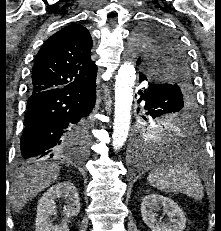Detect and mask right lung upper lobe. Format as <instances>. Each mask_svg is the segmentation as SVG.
<instances>
[{
	"instance_id": "obj_1",
	"label": "right lung upper lobe",
	"mask_w": 221,
	"mask_h": 231,
	"mask_svg": "<svg viewBox=\"0 0 221 231\" xmlns=\"http://www.w3.org/2000/svg\"><path fill=\"white\" fill-rule=\"evenodd\" d=\"M93 42L89 31L74 23L45 41L32 70L30 93L65 86H85L96 80L97 66L92 61Z\"/></svg>"
}]
</instances>
